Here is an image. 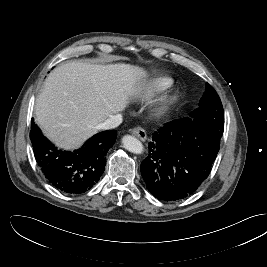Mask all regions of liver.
<instances>
[{
    "instance_id": "liver-1",
    "label": "liver",
    "mask_w": 267,
    "mask_h": 267,
    "mask_svg": "<svg viewBox=\"0 0 267 267\" xmlns=\"http://www.w3.org/2000/svg\"><path fill=\"white\" fill-rule=\"evenodd\" d=\"M146 76L142 68L129 64L60 65L36 99V121L57 146L78 148L99 131V124L126 108Z\"/></svg>"
}]
</instances>
